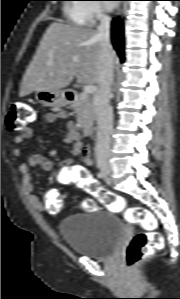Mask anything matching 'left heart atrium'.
Returning a JSON list of instances; mask_svg holds the SVG:
<instances>
[{
	"label": "left heart atrium",
	"instance_id": "obj_1",
	"mask_svg": "<svg viewBox=\"0 0 180 299\" xmlns=\"http://www.w3.org/2000/svg\"><path fill=\"white\" fill-rule=\"evenodd\" d=\"M108 7H109V8H113V7H114V4H108Z\"/></svg>",
	"mask_w": 180,
	"mask_h": 299
}]
</instances>
